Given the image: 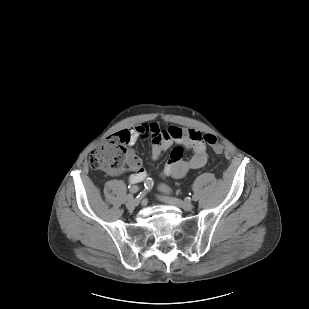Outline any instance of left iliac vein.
<instances>
[{
  "instance_id": "obj_1",
  "label": "left iliac vein",
  "mask_w": 309,
  "mask_h": 309,
  "mask_svg": "<svg viewBox=\"0 0 309 309\" xmlns=\"http://www.w3.org/2000/svg\"><path fill=\"white\" fill-rule=\"evenodd\" d=\"M162 200L168 204H171L173 206H176L178 208H182L186 211H191L194 208V205L191 202H184L180 199L169 197V196H163Z\"/></svg>"
}]
</instances>
